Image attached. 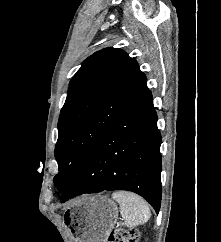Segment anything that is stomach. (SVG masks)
Masks as SVG:
<instances>
[{"label": "stomach", "instance_id": "1", "mask_svg": "<svg viewBox=\"0 0 221 242\" xmlns=\"http://www.w3.org/2000/svg\"><path fill=\"white\" fill-rule=\"evenodd\" d=\"M118 219L116 203L105 195L84 196L71 205L74 242H106Z\"/></svg>", "mask_w": 221, "mask_h": 242}]
</instances>
